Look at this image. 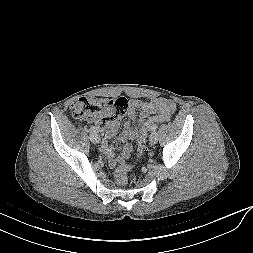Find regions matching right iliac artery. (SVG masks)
Here are the masks:
<instances>
[{"mask_svg": "<svg viewBox=\"0 0 253 253\" xmlns=\"http://www.w3.org/2000/svg\"><path fill=\"white\" fill-rule=\"evenodd\" d=\"M91 132H99V129L97 127L91 126L90 127Z\"/></svg>", "mask_w": 253, "mask_h": 253, "instance_id": "obj_1", "label": "right iliac artery"}]
</instances>
